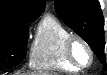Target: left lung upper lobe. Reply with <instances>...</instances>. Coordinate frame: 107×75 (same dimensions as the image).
<instances>
[{
    "instance_id": "left-lung-upper-lobe-1",
    "label": "left lung upper lobe",
    "mask_w": 107,
    "mask_h": 75,
    "mask_svg": "<svg viewBox=\"0 0 107 75\" xmlns=\"http://www.w3.org/2000/svg\"><path fill=\"white\" fill-rule=\"evenodd\" d=\"M55 10L92 48L106 66L104 54V18L98 0H55Z\"/></svg>"
}]
</instances>
